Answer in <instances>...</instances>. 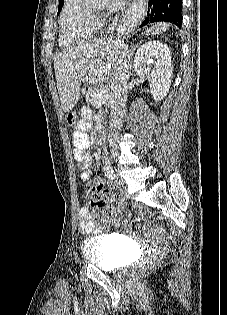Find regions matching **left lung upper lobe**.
<instances>
[{"mask_svg":"<svg viewBox=\"0 0 227 315\" xmlns=\"http://www.w3.org/2000/svg\"><path fill=\"white\" fill-rule=\"evenodd\" d=\"M63 2L64 0H59V9H58V13L61 11L62 6H63Z\"/></svg>","mask_w":227,"mask_h":315,"instance_id":"5c2ea615","label":"left lung upper lobe"}]
</instances>
